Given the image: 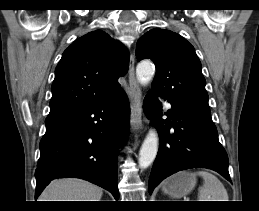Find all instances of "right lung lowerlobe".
I'll return each instance as SVG.
<instances>
[{"mask_svg": "<svg viewBox=\"0 0 259 211\" xmlns=\"http://www.w3.org/2000/svg\"><path fill=\"white\" fill-rule=\"evenodd\" d=\"M129 119L123 90L88 107L48 115L35 198L53 179L76 177L103 187L118 200L116 149L127 140Z\"/></svg>", "mask_w": 259, "mask_h": 211, "instance_id": "1", "label": "right lung lower lobe"}]
</instances>
